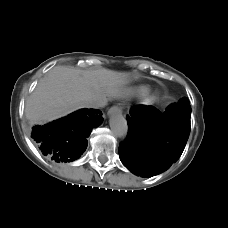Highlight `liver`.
I'll use <instances>...</instances> for the list:
<instances>
[{
	"mask_svg": "<svg viewBox=\"0 0 228 228\" xmlns=\"http://www.w3.org/2000/svg\"><path fill=\"white\" fill-rule=\"evenodd\" d=\"M130 80V74L104 68L80 70L56 66L41 79L25 108L31 123H44L85 107V102L119 92Z\"/></svg>",
	"mask_w": 228,
	"mask_h": 228,
	"instance_id": "obj_1",
	"label": "liver"
}]
</instances>
